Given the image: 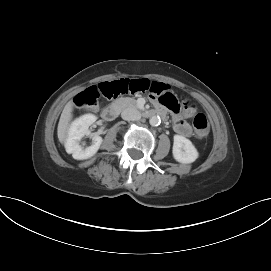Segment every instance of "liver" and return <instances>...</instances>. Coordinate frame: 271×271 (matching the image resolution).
<instances>
[{"instance_id":"obj_1","label":"liver","mask_w":271,"mask_h":271,"mask_svg":"<svg viewBox=\"0 0 271 271\" xmlns=\"http://www.w3.org/2000/svg\"><path fill=\"white\" fill-rule=\"evenodd\" d=\"M72 111L73 102L70 101L65 105L58 124V139L61 143L66 141L69 123L72 119Z\"/></svg>"}]
</instances>
